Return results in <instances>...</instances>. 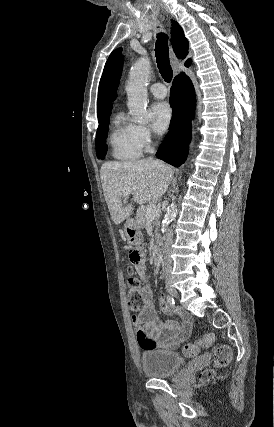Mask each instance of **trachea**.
I'll return each instance as SVG.
<instances>
[{
    "mask_svg": "<svg viewBox=\"0 0 274 427\" xmlns=\"http://www.w3.org/2000/svg\"><path fill=\"white\" fill-rule=\"evenodd\" d=\"M155 52L159 72L165 82H170L172 80L173 71L169 62L168 36L166 34H158Z\"/></svg>",
    "mask_w": 274,
    "mask_h": 427,
    "instance_id": "1",
    "label": "trachea"
}]
</instances>
